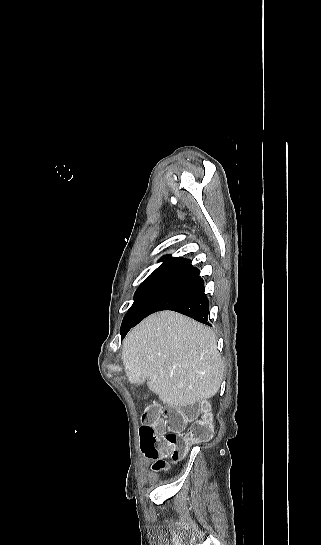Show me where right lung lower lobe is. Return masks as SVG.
I'll return each instance as SVG.
<instances>
[{
	"label": "right lung lower lobe",
	"instance_id": "1",
	"mask_svg": "<svg viewBox=\"0 0 321 545\" xmlns=\"http://www.w3.org/2000/svg\"><path fill=\"white\" fill-rule=\"evenodd\" d=\"M199 274V270L190 263L175 270L138 316L122 323V338L131 327L137 325L142 319L161 310H173L209 325L207 322L209 303L204 293L203 280Z\"/></svg>",
	"mask_w": 321,
	"mask_h": 545
}]
</instances>
